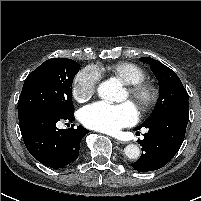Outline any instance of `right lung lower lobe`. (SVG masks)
<instances>
[{"label": "right lung lower lobe", "instance_id": "obj_1", "mask_svg": "<svg viewBox=\"0 0 201 201\" xmlns=\"http://www.w3.org/2000/svg\"><path fill=\"white\" fill-rule=\"evenodd\" d=\"M19 117L23 141L30 154L43 165L58 169L77 159L81 139L89 133L82 126L77 129H58L60 120L74 121V114L61 116L56 112L35 108Z\"/></svg>", "mask_w": 201, "mask_h": 201}]
</instances>
